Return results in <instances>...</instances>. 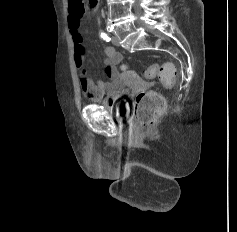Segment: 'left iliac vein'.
<instances>
[{
  "label": "left iliac vein",
  "mask_w": 237,
  "mask_h": 232,
  "mask_svg": "<svg viewBox=\"0 0 237 232\" xmlns=\"http://www.w3.org/2000/svg\"><path fill=\"white\" fill-rule=\"evenodd\" d=\"M112 43L115 45V46H119V39L117 36L113 35L112 36Z\"/></svg>",
  "instance_id": "1"
}]
</instances>
